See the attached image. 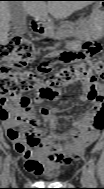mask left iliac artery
<instances>
[{"label": "left iliac artery", "mask_w": 104, "mask_h": 189, "mask_svg": "<svg viewBox=\"0 0 104 189\" xmlns=\"http://www.w3.org/2000/svg\"><path fill=\"white\" fill-rule=\"evenodd\" d=\"M88 170H89V174H90V179L92 181L91 186H95L96 185V180H95V164L93 160H90L88 162Z\"/></svg>", "instance_id": "left-iliac-artery-1"}]
</instances>
